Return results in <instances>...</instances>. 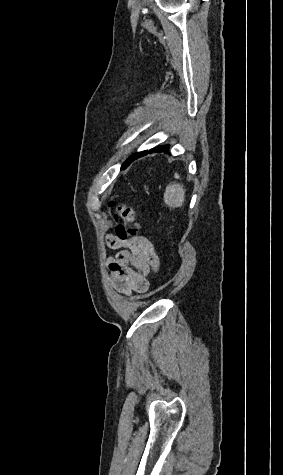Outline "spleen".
Here are the masks:
<instances>
[{
  "label": "spleen",
  "mask_w": 283,
  "mask_h": 475,
  "mask_svg": "<svg viewBox=\"0 0 283 475\" xmlns=\"http://www.w3.org/2000/svg\"><path fill=\"white\" fill-rule=\"evenodd\" d=\"M174 178L181 180L179 174H175ZM185 192L183 184H177V182L169 184V186H166L164 194L165 204L170 208H182L185 202Z\"/></svg>",
  "instance_id": "3e777b00"
}]
</instances>
